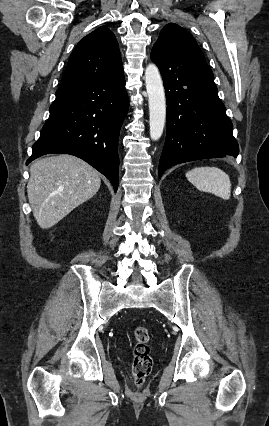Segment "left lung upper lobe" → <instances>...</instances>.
<instances>
[{
    "instance_id": "obj_1",
    "label": "left lung upper lobe",
    "mask_w": 269,
    "mask_h": 426,
    "mask_svg": "<svg viewBox=\"0 0 269 426\" xmlns=\"http://www.w3.org/2000/svg\"><path fill=\"white\" fill-rule=\"evenodd\" d=\"M154 45L205 60L194 37L187 30L174 23H169L162 29Z\"/></svg>"
}]
</instances>
